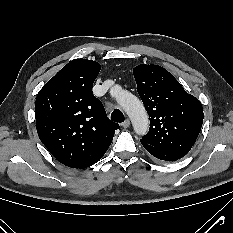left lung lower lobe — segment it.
I'll use <instances>...</instances> for the list:
<instances>
[{
	"instance_id": "obj_1",
	"label": "left lung lower lobe",
	"mask_w": 233,
	"mask_h": 233,
	"mask_svg": "<svg viewBox=\"0 0 233 233\" xmlns=\"http://www.w3.org/2000/svg\"><path fill=\"white\" fill-rule=\"evenodd\" d=\"M143 147L154 157L160 160L164 161H176L180 158H182L184 155L178 154V153H173L169 152L163 149H159L157 147H154L152 145H149L143 141H141Z\"/></svg>"
}]
</instances>
